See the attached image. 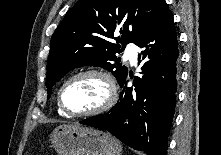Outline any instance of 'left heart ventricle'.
<instances>
[{
    "instance_id": "1",
    "label": "left heart ventricle",
    "mask_w": 221,
    "mask_h": 155,
    "mask_svg": "<svg viewBox=\"0 0 221 155\" xmlns=\"http://www.w3.org/2000/svg\"><path fill=\"white\" fill-rule=\"evenodd\" d=\"M106 98L105 83L96 76L80 77L64 90L63 102L72 112H86L100 106Z\"/></svg>"
}]
</instances>
